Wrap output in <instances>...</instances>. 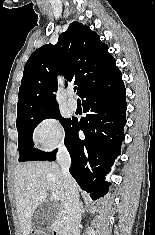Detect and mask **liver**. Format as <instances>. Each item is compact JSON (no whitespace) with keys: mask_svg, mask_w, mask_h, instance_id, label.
<instances>
[{"mask_svg":"<svg viewBox=\"0 0 155 235\" xmlns=\"http://www.w3.org/2000/svg\"><path fill=\"white\" fill-rule=\"evenodd\" d=\"M77 191L79 189L76 184ZM60 196L59 217H65V188L60 166L53 162L18 164L14 171L16 209L22 235H29L32 218L39 205L46 202L47 192Z\"/></svg>","mask_w":155,"mask_h":235,"instance_id":"obj_1","label":"liver"}]
</instances>
